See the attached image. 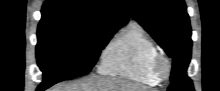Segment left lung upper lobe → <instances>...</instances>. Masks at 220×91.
<instances>
[{"label": "left lung upper lobe", "instance_id": "obj_1", "mask_svg": "<svg viewBox=\"0 0 220 91\" xmlns=\"http://www.w3.org/2000/svg\"><path fill=\"white\" fill-rule=\"evenodd\" d=\"M130 16L173 59L169 91H194L186 71L191 58V27L184 0H122Z\"/></svg>", "mask_w": 220, "mask_h": 91}]
</instances>
